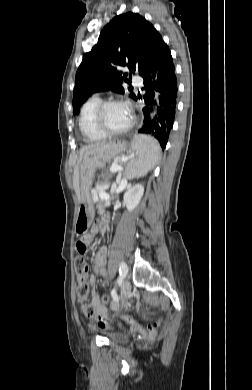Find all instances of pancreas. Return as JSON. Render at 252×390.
I'll return each mask as SVG.
<instances>
[{
  "instance_id": "pancreas-1",
  "label": "pancreas",
  "mask_w": 252,
  "mask_h": 390,
  "mask_svg": "<svg viewBox=\"0 0 252 390\" xmlns=\"http://www.w3.org/2000/svg\"><path fill=\"white\" fill-rule=\"evenodd\" d=\"M92 199H93V202L97 203V208L99 210L98 216L99 217H103L104 216V211L103 210L105 208V206H104L105 202H96L95 197H92Z\"/></svg>"
}]
</instances>
